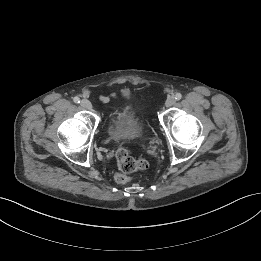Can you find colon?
I'll return each instance as SVG.
<instances>
[{"label":"colon","instance_id":"obj_1","mask_svg":"<svg viewBox=\"0 0 261 261\" xmlns=\"http://www.w3.org/2000/svg\"><path fill=\"white\" fill-rule=\"evenodd\" d=\"M116 161L119 172L116 173L115 180L119 184L127 183L129 181V174L146 170L149 167L146 159H135L123 148L117 150Z\"/></svg>","mask_w":261,"mask_h":261}]
</instances>
